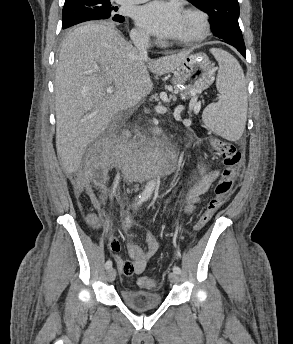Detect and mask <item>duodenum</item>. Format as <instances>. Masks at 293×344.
Here are the masks:
<instances>
[{"label":"duodenum","mask_w":293,"mask_h":344,"mask_svg":"<svg viewBox=\"0 0 293 344\" xmlns=\"http://www.w3.org/2000/svg\"><path fill=\"white\" fill-rule=\"evenodd\" d=\"M110 149H111L110 153H111L112 157L114 158L116 155L115 154L116 151H115L114 146H111ZM166 165L171 167V169H173V170H175L178 166L177 159H176V156H175V153L173 152V150H171L169 158L165 162L160 164V167H165Z\"/></svg>","instance_id":"410a0bca"}]
</instances>
